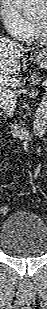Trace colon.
<instances>
[{"mask_svg":"<svg viewBox=\"0 0 47 309\" xmlns=\"http://www.w3.org/2000/svg\"><path fill=\"white\" fill-rule=\"evenodd\" d=\"M9 212H10V208H9L8 206H3V207L1 208V213H2L3 215H7Z\"/></svg>","mask_w":47,"mask_h":309,"instance_id":"5ec220e1","label":"colon"}]
</instances>
